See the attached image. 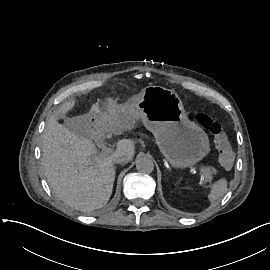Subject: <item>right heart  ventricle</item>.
I'll list each match as a JSON object with an SVG mask.
<instances>
[{"label":"right heart ventricle","instance_id":"e07e8e85","mask_svg":"<svg viewBox=\"0 0 270 270\" xmlns=\"http://www.w3.org/2000/svg\"><path fill=\"white\" fill-rule=\"evenodd\" d=\"M135 168L138 169V167L136 166V164H135Z\"/></svg>","mask_w":270,"mask_h":270}]
</instances>
